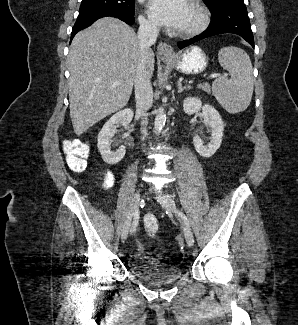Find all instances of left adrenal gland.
I'll use <instances>...</instances> for the list:
<instances>
[{"label":"left adrenal gland","mask_w":298,"mask_h":325,"mask_svg":"<svg viewBox=\"0 0 298 325\" xmlns=\"http://www.w3.org/2000/svg\"><path fill=\"white\" fill-rule=\"evenodd\" d=\"M177 86H178V92H183V90H190L191 88L190 84H185V86H183L181 80L177 82Z\"/></svg>","instance_id":"obj_1"}]
</instances>
